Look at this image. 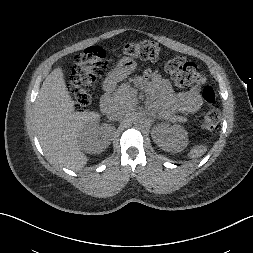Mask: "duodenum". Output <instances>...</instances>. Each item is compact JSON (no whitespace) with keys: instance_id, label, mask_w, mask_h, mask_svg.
<instances>
[{"instance_id":"1","label":"duodenum","mask_w":253,"mask_h":253,"mask_svg":"<svg viewBox=\"0 0 253 253\" xmlns=\"http://www.w3.org/2000/svg\"><path fill=\"white\" fill-rule=\"evenodd\" d=\"M113 89V84L110 80L104 83V94L101 98V108L103 111H109L112 108L111 91Z\"/></svg>"}]
</instances>
